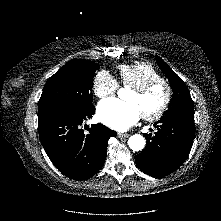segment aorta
<instances>
[{
    "label": "aorta",
    "instance_id": "aorta-1",
    "mask_svg": "<svg viewBox=\"0 0 221 221\" xmlns=\"http://www.w3.org/2000/svg\"><path fill=\"white\" fill-rule=\"evenodd\" d=\"M146 141L140 134L132 135L128 140V145L133 151H141L144 149Z\"/></svg>",
    "mask_w": 221,
    "mask_h": 221
}]
</instances>
